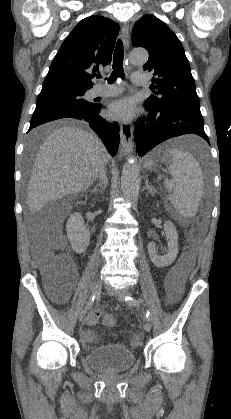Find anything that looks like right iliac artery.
<instances>
[{
  "instance_id": "82829eb1",
  "label": "right iliac artery",
  "mask_w": 231,
  "mask_h": 419,
  "mask_svg": "<svg viewBox=\"0 0 231 419\" xmlns=\"http://www.w3.org/2000/svg\"><path fill=\"white\" fill-rule=\"evenodd\" d=\"M94 299H95V296L90 297L89 301L87 302V304L85 306L86 309H90L92 307Z\"/></svg>"
}]
</instances>
